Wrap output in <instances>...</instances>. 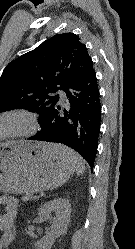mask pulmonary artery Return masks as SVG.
Masks as SVG:
<instances>
[{
	"label": "pulmonary artery",
	"mask_w": 135,
	"mask_h": 249,
	"mask_svg": "<svg viewBox=\"0 0 135 249\" xmlns=\"http://www.w3.org/2000/svg\"><path fill=\"white\" fill-rule=\"evenodd\" d=\"M59 95H60L61 101H65V100H66V96H65V93H64V92L59 91Z\"/></svg>",
	"instance_id": "obj_1"
}]
</instances>
